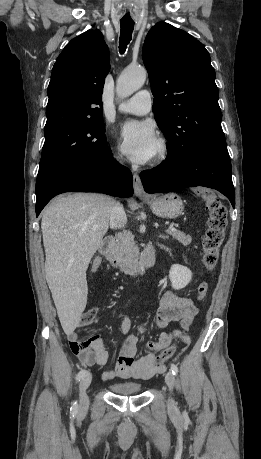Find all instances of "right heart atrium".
<instances>
[{"instance_id":"obj_1","label":"right heart atrium","mask_w":261,"mask_h":459,"mask_svg":"<svg viewBox=\"0 0 261 459\" xmlns=\"http://www.w3.org/2000/svg\"><path fill=\"white\" fill-rule=\"evenodd\" d=\"M115 158H116V160H117L120 164L123 163V159H122V157H121V155H120L119 153H117V154L115 155Z\"/></svg>"}]
</instances>
